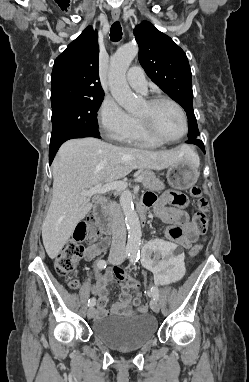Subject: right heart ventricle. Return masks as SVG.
I'll use <instances>...</instances> for the list:
<instances>
[{
    "label": "right heart ventricle",
    "mask_w": 249,
    "mask_h": 382,
    "mask_svg": "<svg viewBox=\"0 0 249 382\" xmlns=\"http://www.w3.org/2000/svg\"><path fill=\"white\" fill-rule=\"evenodd\" d=\"M135 121V129L133 133L123 142L147 148H154L161 145L160 143L146 136L145 133L142 131L139 121L136 119Z\"/></svg>",
    "instance_id": "right-heart-ventricle-1"
}]
</instances>
